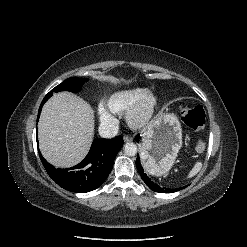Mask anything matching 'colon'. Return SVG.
<instances>
[{
    "mask_svg": "<svg viewBox=\"0 0 247 247\" xmlns=\"http://www.w3.org/2000/svg\"><path fill=\"white\" fill-rule=\"evenodd\" d=\"M181 113L183 122L192 129H200L205 123V113L200 106L188 107L181 105ZM194 148L197 152H203L206 149V143L198 139L195 141Z\"/></svg>",
    "mask_w": 247,
    "mask_h": 247,
    "instance_id": "colon-1",
    "label": "colon"
}]
</instances>
